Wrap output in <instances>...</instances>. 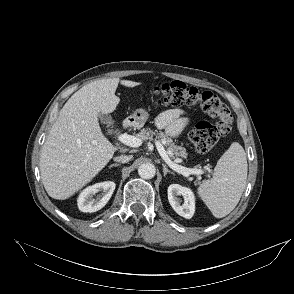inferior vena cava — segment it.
<instances>
[{
	"label": "inferior vena cava",
	"instance_id": "1",
	"mask_svg": "<svg viewBox=\"0 0 294 294\" xmlns=\"http://www.w3.org/2000/svg\"><path fill=\"white\" fill-rule=\"evenodd\" d=\"M132 156L128 155H120L115 157V161L121 162V163H127L131 160Z\"/></svg>",
	"mask_w": 294,
	"mask_h": 294
}]
</instances>
